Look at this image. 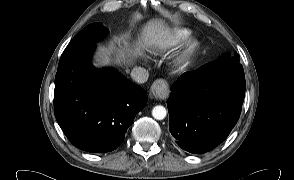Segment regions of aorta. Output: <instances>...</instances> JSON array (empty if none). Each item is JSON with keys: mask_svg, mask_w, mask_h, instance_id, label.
I'll return each instance as SVG.
<instances>
[{"mask_svg": "<svg viewBox=\"0 0 294 180\" xmlns=\"http://www.w3.org/2000/svg\"><path fill=\"white\" fill-rule=\"evenodd\" d=\"M166 115H167V111L165 107L161 105H157L152 109V116L156 120H163L166 117Z\"/></svg>", "mask_w": 294, "mask_h": 180, "instance_id": "1", "label": "aorta"}]
</instances>
